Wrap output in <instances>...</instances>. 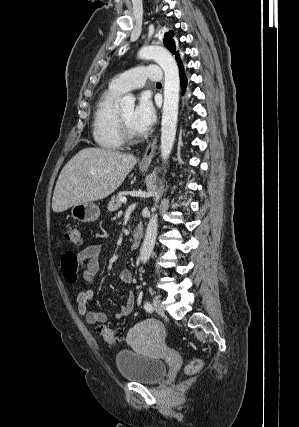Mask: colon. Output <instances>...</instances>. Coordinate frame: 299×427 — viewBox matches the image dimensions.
Segmentation results:
<instances>
[{"label": "colon", "mask_w": 299, "mask_h": 427, "mask_svg": "<svg viewBox=\"0 0 299 427\" xmlns=\"http://www.w3.org/2000/svg\"><path fill=\"white\" fill-rule=\"evenodd\" d=\"M64 238L67 243L79 246L82 243L81 230L78 225H72L64 233ZM99 337L109 344H117L122 340V336L116 331L107 328V327H99L98 328ZM202 367V360L199 358H195L191 360L185 367V372L188 375L195 374Z\"/></svg>", "instance_id": "obj_1"}]
</instances>
